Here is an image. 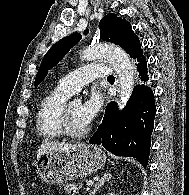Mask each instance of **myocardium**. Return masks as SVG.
Wrapping results in <instances>:
<instances>
[{
	"mask_svg": "<svg viewBox=\"0 0 189 195\" xmlns=\"http://www.w3.org/2000/svg\"><path fill=\"white\" fill-rule=\"evenodd\" d=\"M69 106H70V102H66L62 106L61 111H60L59 124H60L62 134L70 138H82L89 133L90 126L86 127L85 129L81 131L73 130L70 124Z\"/></svg>",
	"mask_w": 189,
	"mask_h": 195,
	"instance_id": "1",
	"label": "myocardium"
}]
</instances>
